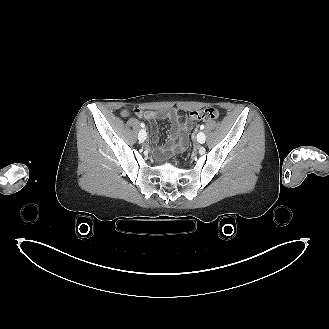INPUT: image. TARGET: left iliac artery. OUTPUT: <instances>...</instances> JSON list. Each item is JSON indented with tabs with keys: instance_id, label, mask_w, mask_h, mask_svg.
<instances>
[{
	"instance_id": "obj_1",
	"label": "left iliac artery",
	"mask_w": 329,
	"mask_h": 329,
	"mask_svg": "<svg viewBox=\"0 0 329 329\" xmlns=\"http://www.w3.org/2000/svg\"><path fill=\"white\" fill-rule=\"evenodd\" d=\"M204 128H205V126H204V125H201V126H200V129H201V130H203Z\"/></svg>"
}]
</instances>
